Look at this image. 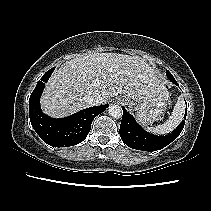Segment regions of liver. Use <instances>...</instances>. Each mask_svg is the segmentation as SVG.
Returning <instances> with one entry per match:
<instances>
[{
    "label": "liver",
    "instance_id": "6515ba94",
    "mask_svg": "<svg viewBox=\"0 0 211 211\" xmlns=\"http://www.w3.org/2000/svg\"><path fill=\"white\" fill-rule=\"evenodd\" d=\"M164 91L163 75L140 58L118 53H90L63 63L49 79L40 99L43 111L61 118L89 107L87 98L103 102L118 94L134 101Z\"/></svg>",
    "mask_w": 211,
    "mask_h": 211
}]
</instances>
